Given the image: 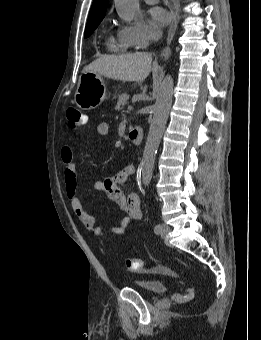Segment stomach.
Returning a JSON list of instances; mask_svg holds the SVG:
<instances>
[{
  "label": "stomach",
  "mask_w": 261,
  "mask_h": 340,
  "mask_svg": "<svg viewBox=\"0 0 261 340\" xmlns=\"http://www.w3.org/2000/svg\"><path fill=\"white\" fill-rule=\"evenodd\" d=\"M107 99V90L102 75L93 72H83L79 77L74 101L82 110L98 107Z\"/></svg>",
  "instance_id": "obj_1"
}]
</instances>
